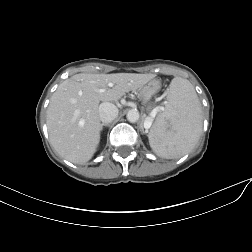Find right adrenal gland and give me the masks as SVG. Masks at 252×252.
Wrapping results in <instances>:
<instances>
[{
  "label": "right adrenal gland",
  "mask_w": 252,
  "mask_h": 252,
  "mask_svg": "<svg viewBox=\"0 0 252 252\" xmlns=\"http://www.w3.org/2000/svg\"><path fill=\"white\" fill-rule=\"evenodd\" d=\"M103 126H110V124H108V123H102V124L100 125V129H101V130L103 129Z\"/></svg>",
  "instance_id": "obj_1"
}]
</instances>
